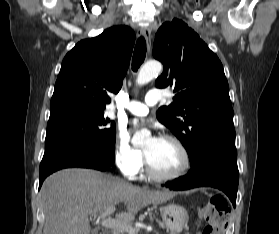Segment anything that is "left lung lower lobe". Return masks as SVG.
Returning <instances> with one entry per match:
<instances>
[{
  "label": "left lung lower lobe",
  "mask_w": 279,
  "mask_h": 234,
  "mask_svg": "<svg viewBox=\"0 0 279 234\" xmlns=\"http://www.w3.org/2000/svg\"><path fill=\"white\" fill-rule=\"evenodd\" d=\"M239 172L235 144L221 143L206 149L191 166L185 176L167 182L166 187L173 190H187L195 187H215L230 198L236 206Z\"/></svg>",
  "instance_id": "left-lung-lower-lobe-1"
}]
</instances>
